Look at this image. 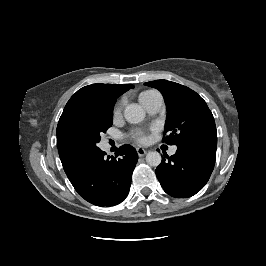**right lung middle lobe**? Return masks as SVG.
Listing matches in <instances>:
<instances>
[{
    "label": "right lung middle lobe",
    "mask_w": 266,
    "mask_h": 266,
    "mask_svg": "<svg viewBox=\"0 0 266 266\" xmlns=\"http://www.w3.org/2000/svg\"><path fill=\"white\" fill-rule=\"evenodd\" d=\"M113 105L95 109L82 119L76 121L66 132L65 142L68 148L80 155L92 156L100 148L101 134L112 126Z\"/></svg>",
    "instance_id": "right-lung-middle-lobe-1"
}]
</instances>
